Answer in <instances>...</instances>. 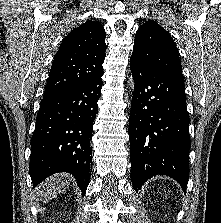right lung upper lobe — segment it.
<instances>
[{"instance_id":"right-lung-upper-lobe-1","label":"right lung upper lobe","mask_w":221,"mask_h":223,"mask_svg":"<svg viewBox=\"0 0 221 223\" xmlns=\"http://www.w3.org/2000/svg\"><path fill=\"white\" fill-rule=\"evenodd\" d=\"M105 30L88 20L73 29L55 55L44 97L77 87L103 73Z\"/></svg>"}]
</instances>
